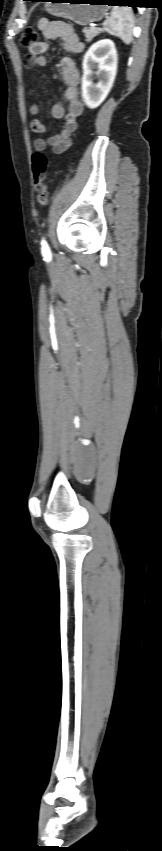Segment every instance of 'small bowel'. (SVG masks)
<instances>
[{
	"instance_id": "small-bowel-1",
	"label": "small bowel",
	"mask_w": 162,
	"mask_h": 851,
	"mask_svg": "<svg viewBox=\"0 0 162 851\" xmlns=\"http://www.w3.org/2000/svg\"><path fill=\"white\" fill-rule=\"evenodd\" d=\"M38 27L43 33L44 40L36 42L28 48L29 53L24 61L27 67L45 66L47 58L44 54L49 49L51 41L56 39L61 41L66 51L77 53L83 49V44L75 30L63 21H51L42 18L38 22ZM60 66L62 79L66 85L64 98L67 102V108L60 103L55 104L51 109V115L56 119L63 120V122L56 134L46 139L37 138L33 143L35 150L43 151L50 147L54 154H61L70 147L72 134L77 127V118L84 111L78 89L80 75L75 62L71 58L65 57L61 60ZM39 110L40 107L37 103L30 104L29 112L32 115H37ZM30 127L35 133L41 134L46 131L45 123L37 118L31 120Z\"/></svg>"
}]
</instances>
